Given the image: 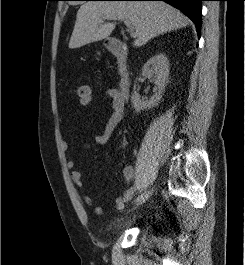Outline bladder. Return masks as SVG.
<instances>
[{
  "label": "bladder",
  "mask_w": 245,
  "mask_h": 265,
  "mask_svg": "<svg viewBox=\"0 0 245 265\" xmlns=\"http://www.w3.org/2000/svg\"><path fill=\"white\" fill-rule=\"evenodd\" d=\"M118 228H119V226H117V225H113L111 229H112V230H117Z\"/></svg>",
  "instance_id": "obj_1"
}]
</instances>
